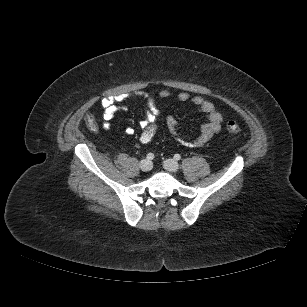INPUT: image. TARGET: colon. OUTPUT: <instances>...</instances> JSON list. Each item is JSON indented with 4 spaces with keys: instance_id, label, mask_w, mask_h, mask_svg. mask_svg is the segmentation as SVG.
Returning a JSON list of instances; mask_svg holds the SVG:
<instances>
[{
    "instance_id": "colon-1",
    "label": "colon",
    "mask_w": 307,
    "mask_h": 307,
    "mask_svg": "<svg viewBox=\"0 0 307 307\" xmlns=\"http://www.w3.org/2000/svg\"><path fill=\"white\" fill-rule=\"evenodd\" d=\"M87 125L89 127H93L96 125L95 123V120L92 116H87ZM226 127H227V130L235 135V136H238L239 133H240V128H239V125L233 121V120H230L227 122L226 124ZM155 132H156V125H150L148 127H146L145 129H143L141 135H140V141L143 143V144H147V143H150L155 135Z\"/></svg>"
}]
</instances>
